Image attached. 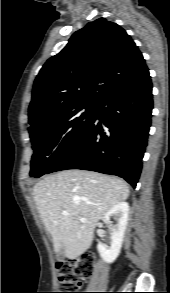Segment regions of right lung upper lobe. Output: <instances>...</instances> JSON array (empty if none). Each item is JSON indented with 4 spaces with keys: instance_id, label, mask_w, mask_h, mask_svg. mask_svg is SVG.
<instances>
[{
    "instance_id": "right-lung-upper-lobe-1",
    "label": "right lung upper lobe",
    "mask_w": 170,
    "mask_h": 293,
    "mask_svg": "<svg viewBox=\"0 0 170 293\" xmlns=\"http://www.w3.org/2000/svg\"><path fill=\"white\" fill-rule=\"evenodd\" d=\"M145 70L141 52L124 29L105 18L89 22L36 77L30 128L74 107L97 105L108 92Z\"/></svg>"
}]
</instances>
